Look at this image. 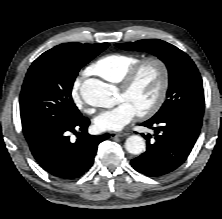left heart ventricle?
I'll return each mask as SVG.
<instances>
[{
  "label": "left heart ventricle",
  "mask_w": 222,
  "mask_h": 219,
  "mask_svg": "<svg viewBox=\"0 0 222 219\" xmlns=\"http://www.w3.org/2000/svg\"><path fill=\"white\" fill-rule=\"evenodd\" d=\"M159 83L157 68L154 65H146L129 91H119V101L129 102L137 112L143 110L155 99Z\"/></svg>",
  "instance_id": "obj_1"
}]
</instances>
